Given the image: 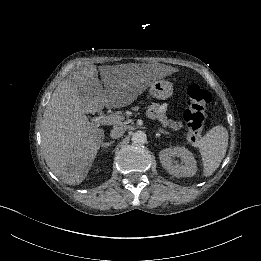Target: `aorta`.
<instances>
[{
    "label": "aorta",
    "instance_id": "762f6f07",
    "mask_svg": "<svg viewBox=\"0 0 261 261\" xmlns=\"http://www.w3.org/2000/svg\"><path fill=\"white\" fill-rule=\"evenodd\" d=\"M147 142V135L142 131H136L132 134V143L143 145Z\"/></svg>",
    "mask_w": 261,
    "mask_h": 261
}]
</instances>
